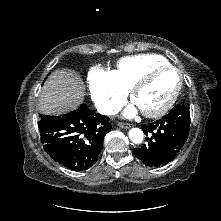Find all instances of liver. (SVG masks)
I'll return each instance as SVG.
<instances>
[{"instance_id": "obj_1", "label": "liver", "mask_w": 221, "mask_h": 221, "mask_svg": "<svg viewBox=\"0 0 221 221\" xmlns=\"http://www.w3.org/2000/svg\"><path fill=\"white\" fill-rule=\"evenodd\" d=\"M84 91L80 77L70 71H55L42 88L39 109L49 115L76 109L84 100Z\"/></svg>"}]
</instances>
